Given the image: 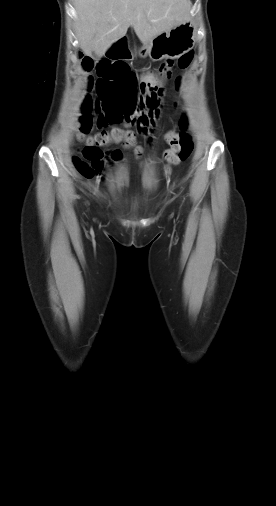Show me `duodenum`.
I'll list each match as a JSON object with an SVG mask.
<instances>
[{"label":"duodenum","instance_id":"duodenum-1","mask_svg":"<svg viewBox=\"0 0 276 506\" xmlns=\"http://www.w3.org/2000/svg\"><path fill=\"white\" fill-rule=\"evenodd\" d=\"M126 36H122L114 45L106 47L104 56L110 58L126 59L134 56V51L130 45H126Z\"/></svg>","mask_w":276,"mask_h":506}]
</instances>
